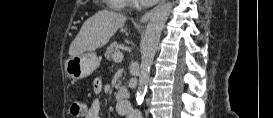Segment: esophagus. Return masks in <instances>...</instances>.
Masks as SVG:
<instances>
[{
    "instance_id": "34e87169",
    "label": "esophagus",
    "mask_w": 273,
    "mask_h": 118,
    "mask_svg": "<svg viewBox=\"0 0 273 118\" xmlns=\"http://www.w3.org/2000/svg\"><path fill=\"white\" fill-rule=\"evenodd\" d=\"M165 2V0H160V2L158 3V5L156 7H154L153 9L149 10L148 12H146L140 19L141 23H146L149 21V19L152 17V15L154 14V12L158 9V7L163 4Z\"/></svg>"
}]
</instances>
